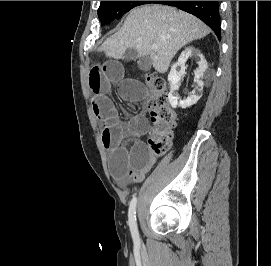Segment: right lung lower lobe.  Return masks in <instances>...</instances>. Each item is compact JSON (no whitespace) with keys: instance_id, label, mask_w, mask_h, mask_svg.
I'll return each mask as SVG.
<instances>
[{"instance_id":"98d812e1","label":"right lung lower lobe","mask_w":271,"mask_h":266,"mask_svg":"<svg viewBox=\"0 0 271 266\" xmlns=\"http://www.w3.org/2000/svg\"><path fill=\"white\" fill-rule=\"evenodd\" d=\"M151 3L175 6L200 18L221 38L218 1H152Z\"/></svg>"}]
</instances>
